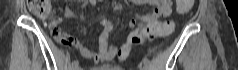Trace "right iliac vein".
<instances>
[{
  "mask_svg": "<svg viewBox=\"0 0 238 70\" xmlns=\"http://www.w3.org/2000/svg\"><path fill=\"white\" fill-rule=\"evenodd\" d=\"M73 70H79V68H78V67H76V68H73Z\"/></svg>",
  "mask_w": 238,
  "mask_h": 70,
  "instance_id": "63e3f726",
  "label": "right iliac vein"
}]
</instances>
